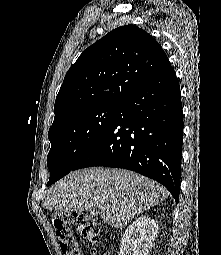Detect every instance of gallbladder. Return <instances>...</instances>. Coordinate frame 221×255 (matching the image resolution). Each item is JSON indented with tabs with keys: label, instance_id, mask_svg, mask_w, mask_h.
I'll return each mask as SVG.
<instances>
[{
	"label": "gallbladder",
	"instance_id": "obj_1",
	"mask_svg": "<svg viewBox=\"0 0 221 255\" xmlns=\"http://www.w3.org/2000/svg\"><path fill=\"white\" fill-rule=\"evenodd\" d=\"M90 213H91L93 216H97V215H98V210H97V209H91V210H90Z\"/></svg>",
	"mask_w": 221,
	"mask_h": 255
}]
</instances>
